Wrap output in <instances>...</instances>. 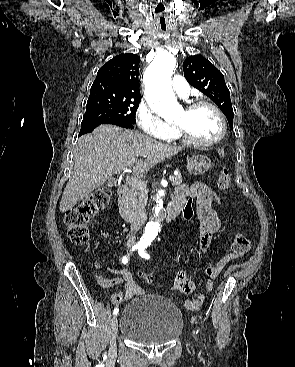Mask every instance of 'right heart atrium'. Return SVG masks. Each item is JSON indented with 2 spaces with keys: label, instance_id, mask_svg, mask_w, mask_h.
<instances>
[{
  "label": "right heart atrium",
  "instance_id": "obj_1",
  "mask_svg": "<svg viewBox=\"0 0 295 367\" xmlns=\"http://www.w3.org/2000/svg\"><path fill=\"white\" fill-rule=\"evenodd\" d=\"M136 121L146 134L157 139H169L175 132L172 124L164 121L152 106L145 103L139 105Z\"/></svg>",
  "mask_w": 295,
  "mask_h": 367
}]
</instances>
